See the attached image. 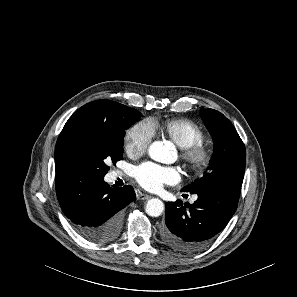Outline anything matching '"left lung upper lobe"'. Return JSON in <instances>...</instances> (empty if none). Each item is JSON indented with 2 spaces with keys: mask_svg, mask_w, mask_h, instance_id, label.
<instances>
[{
  "mask_svg": "<svg viewBox=\"0 0 297 297\" xmlns=\"http://www.w3.org/2000/svg\"><path fill=\"white\" fill-rule=\"evenodd\" d=\"M200 116L212 134L214 153L203 176L182 191L195 193L213 186L241 188L246 163L244 143L232 123L222 113L206 109Z\"/></svg>",
  "mask_w": 297,
  "mask_h": 297,
  "instance_id": "5c2ea615",
  "label": "left lung upper lobe"
}]
</instances>
